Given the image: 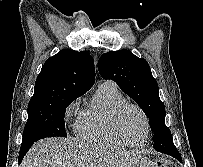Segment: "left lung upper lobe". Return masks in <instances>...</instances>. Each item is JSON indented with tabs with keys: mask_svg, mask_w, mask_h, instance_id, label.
<instances>
[{
	"mask_svg": "<svg viewBox=\"0 0 203 167\" xmlns=\"http://www.w3.org/2000/svg\"><path fill=\"white\" fill-rule=\"evenodd\" d=\"M98 70L103 79L115 81L142 108L149 118L154 143L172 139L165 125V107L159 97L157 82L145 59L129 50L110 51L99 58Z\"/></svg>",
	"mask_w": 203,
	"mask_h": 167,
	"instance_id": "1",
	"label": "left lung upper lobe"
}]
</instances>
